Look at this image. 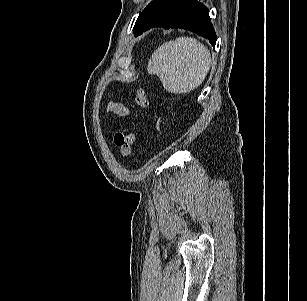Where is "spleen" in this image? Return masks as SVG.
Listing matches in <instances>:
<instances>
[{
	"mask_svg": "<svg viewBox=\"0 0 307 301\" xmlns=\"http://www.w3.org/2000/svg\"><path fill=\"white\" fill-rule=\"evenodd\" d=\"M211 65L207 47L192 37L163 43L148 62V74H156L170 93H189L202 84Z\"/></svg>",
	"mask_w": 307,
	"mask_h": 301,
	"instance_id": "1",
	"label": "spleen"
}]
</instances>
